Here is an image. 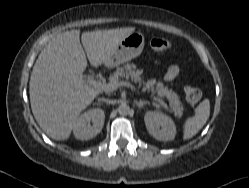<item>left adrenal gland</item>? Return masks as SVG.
Wrapping results in <instances>:
<instances>
[{"mask_svg":"<svg viewBox=\"0 0 249 188\" xmlns=\"http://www.w3.org/2000/svg\"><path fill=\"white\" fill-rule=\"evenodd\" d=\"M136 105L139 107V108H142L143 105L145 104H149L148 101H145V100H139V101H135Z\"/></svg>","mask_w":249,"mask_h":188,"instance_id":"1","label":"left adrenal gland"}]
</instances>
